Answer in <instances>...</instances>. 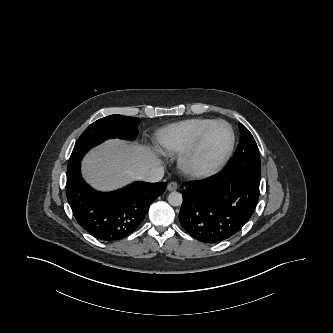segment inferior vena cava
Masks as SVG:
<instances>
[{"mask_svg":"<svg viewBox=\"0 0 333 333\" xmlns=\"http://www.w3.org/2000/svg\"><path fill=\"white\" fill-rule=\"evenodd\" d=\"M164 175V168L162 166H152L137 176V179L145 182H159Z\"/></svg>","mask_w":333,"mask_h":333,"instance_id":"inferior-vena-cava-1","label":"inferior vena cava"}]
</instances>
